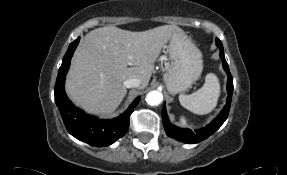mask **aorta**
Masks as SVG:
<instances>
[{
	"label": "aorta",
	"instance_id": "aorta-1",
	"mask_svg": "<svg viewBox=\"0 0 287 175\" xmlns=\"http://www.w3.org/2000/svg\"><path fill=\"white\" fill-rule=\"evenodd\" d=\"M163 100V94L160 91L154 90L147 94L146 102L151 106L159 105Z\"/></svg>",
	"mask_w": 287,
	"mask_h": 175
}]
</instances>
